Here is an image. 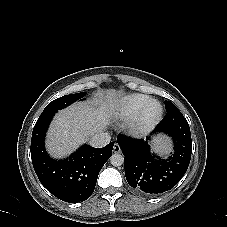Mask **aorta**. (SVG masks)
I'll return each instance as SVG.
<instances>
[{
    "mask_svg": "<svg viewBox=\"0 0 227 227\" xmlns=\"http://www.w3.org/2000/svg\"><path fill=\"white\" fill-rule=\"evenodd\" d=\"M110 163L114 167H119V166H121L124 163V156L121 153H114L110 157Z\"/></svg>",
    "mask_w": 227,
    "mask_h": 227,
    "instance_id": "aorta-1",
    "label": "aorta"
}]
</instances>
